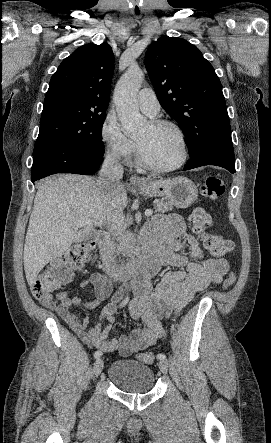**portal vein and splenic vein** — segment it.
<instances>
[{"label": "portal vein and splenic vein", "instance_id": "18ae733b", "mask_svg": "<svg viewBox=\"0 0 271 443\" xmlns=\"http://www.w3.org/2000/svg\"><path fill=\"white\" fill-rule=\"evenodd\" d=\"M153 212L152 210H146L145 212V216H152ZM78 223H82V225H87V223L89 222H85V220H83V218H81V220H77ZM95 225H102V222H95Z\"/></svg>", "mask_w": 271, "mask_h": 443}]
</instances>
